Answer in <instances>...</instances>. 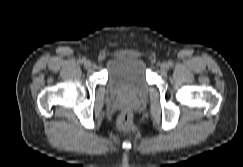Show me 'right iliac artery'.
<instances>
[{
  "mask_svg": "<svg viewBox=\"0 0 243 167\" xmlns=\"http://www.w3.org/2000/svg\"><path fill=\"white\" fill-rule=\"evenodd\" d=\"M85 60H86L85 58H82V59L79 60V62L83 63V62H85Z\"/></svg>",
  "mask_w": 243,
  "mask_h": 167,
  "instance_id": "right-iliac-artery-1",
  "label": "right iliac artery"
}]
</instances>
